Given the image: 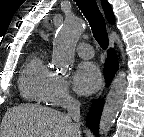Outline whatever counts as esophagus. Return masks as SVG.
<instances>
[{
  "instance_id": "esophagus-1",
  "label": "esophagus",
  "mask_w": 144,
  "mask_h": 137,
  "mask_svg": "<svg viewBox=\"0 0 144 137\" xmlns=\"http://www.w3.org/2000/svg\"><path fill=\"white\" fill-rule=\"evenodd\" d=\"M109 45H110L111 48L114 47V39H113L112 35H110V37H109ZM102 91H103V89L99 93V96L102 94Z\"/></svg>"
}]
</instances>
